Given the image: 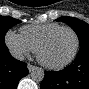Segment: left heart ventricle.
<instances>
[{
  "label": "left heart ventricle",
  "instance_id": "left-heart-ventricle-1",
  "mask_svg": "<svg viewBox=\"0 0 89 89\" xmlns=\"http://www.w3.org/2000/svg\"><path fill=\"white\" fill-rule=\"evenodd\" d=\"M75 47V37L68 30L55 34L42 50L43 59L51 64L66 60Z\"/></svg>",
  "mask_w": 89,
  "mask_h": 89
}]
</instances>
